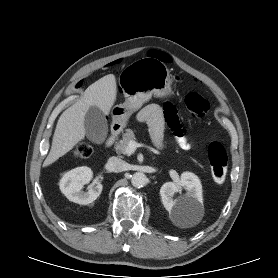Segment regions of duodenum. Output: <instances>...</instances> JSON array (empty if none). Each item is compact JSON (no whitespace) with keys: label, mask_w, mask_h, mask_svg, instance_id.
Returning <instances> with one entry per match:
<instances>
[{"label":"duodenum","mask_w":278,"mask_h":278,"mask_svg":"<svg viewBox=\"0 0 278 278\" xmlns=\"http://www.w3.org/2000/svg\"><path fill=\"white\" fill-rule=\"evenodd\" d=\"M120 131H121V126L119 124H114L112 129H111L110 135L108 136V138L105 142V146L107 148L111 147L114 144V142L117 139Z\"/></svg>","instance_id":"1"}]
</instances>
